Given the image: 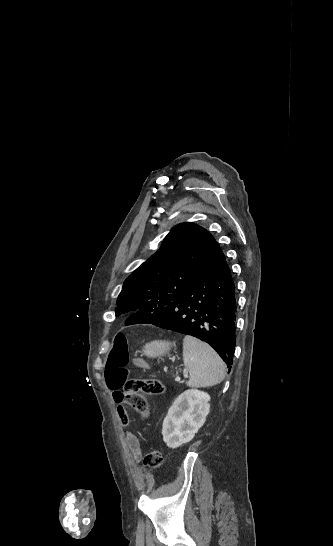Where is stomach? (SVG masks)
Here are the masks:
<instances>
[{"label":"stomach","instance_id":"obj_1","mask_svg":"<svg viewBox=\"0 0 333 546\" xmlns=\"http://www.w3.org/2000/svg\"><path fill=\"white\" fill-rule=\"evenodd\" d=\"M171 342L168 341H152L144 346L143 353L149 357H161L169 352Z\"/></svg>","mask_w":333,"mask_h":546}]
</instances>
